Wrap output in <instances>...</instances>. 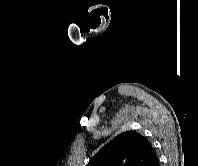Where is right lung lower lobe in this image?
Returning a JSON list of instances; mask_svg holds the SVG:
<instances>
[{
	"instance_id": "obj_1",
	"label": "right lung lower lobe",
	"mask_w": 198,
	"mask_h": 166,
	"mask_svg": "<svg viewBox=\"0 0 198 166\" xmlns=\"http://www.w3.org/2000/svg\"><path fill=\"white\" fill-rule=\"evenodd\" d=\"M150 166H159V159H155L151 164Z\"/></svg>"
}]
</instances>
